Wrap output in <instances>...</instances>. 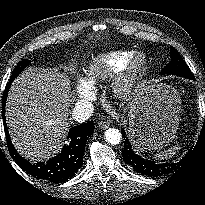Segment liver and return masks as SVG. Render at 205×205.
Wrapping results in <instances>:
<instances>
[{"label": "liver", "mask_w": 205, "mask_h": 205, "mask_svg": "<svg viewBox=\"0 0 205 205\" xmlns=\"http://www.w3.org/2000/svg\"><path fill=\"white\" fill-rule=\"evenodd\" d=\"M71 102L69 83L57 71L30 68L12 83L6 119L12 142L21 155L40 160L58 153Z\"/></svg>", "instance_id": "obj_1"}]
</instances>
